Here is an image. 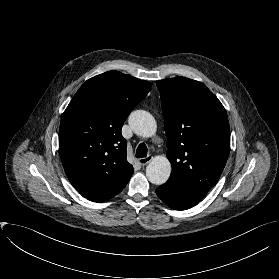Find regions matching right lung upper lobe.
<instances>
[{
    "mask_svg": "<svg viewBox=\"0 0 279 279\" xmlns=\"http://www.w3.org/2000/svg\"><path fill=\"white\" fill-rule=\"evenodd\" d=\"M151 84L118 71L87 80L63 113L59 150L73 187L93 202L111 199L128 183L124 121Z\"/></svg>",
    "mask_w": 279,
    "mask_h": 279,
    "instance_id": "right-lung-upper-lobe-1",
    "label": "right lung upper lobe"
}]
</instances>
